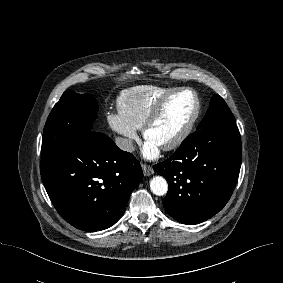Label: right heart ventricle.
Listing matches in <instances>:
<instances>
[{"instance_id": "1", "label": "right heart ventricle", "mask_w": 283, "mask_h": 283, "mask_svg": "<svg viewBox=\"0 0 283 283\" xmlns=\"http://www.w3.org/2000/svg\"><path fill=\"white\" fill-rule=\"evenodd\" d=\"M174 88L152 85L129 89L118 99V111L136 129L142 128L154 106Z\"/></svg>"}]
</instances>
